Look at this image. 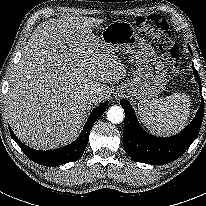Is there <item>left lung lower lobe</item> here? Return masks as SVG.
<instances>
[{
    "instance_id": "left-lung-lower-lobe-1",
    "label": "left lung lower lobe",
    "mask_w": 206,
    "mask_h": 206,
    "mask_svg": "<svg viewBox=\"0 0 206 206\" xmlns=\"http://www.w3.org/2000/svg\"><path fill=\"white\" fill-rule=\"evenodd\" d=\"M195 79L201 90L199 75L193 66ZM125 110L123 146L126 153L135 161L161 165L179 158L189 148L199 133L204 105L203 98L193 121L179 134L161 138L147 134L139 125L135 112L127 100H121Z\"/></svg>"
}]
</instances>
